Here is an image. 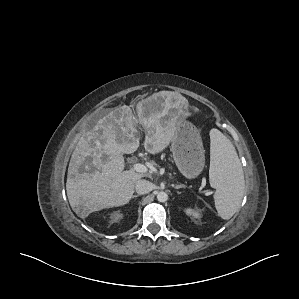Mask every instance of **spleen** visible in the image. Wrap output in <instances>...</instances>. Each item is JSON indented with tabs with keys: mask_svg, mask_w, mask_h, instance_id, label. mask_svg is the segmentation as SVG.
Returning a JSON list of instances; mask_svg holds the SVG:
<instances>
[{
	"mask_svg": "<svg viewBox=\"0 0 299 299\" xmlns=\"http://www.w3.org/2000/svg\"><path fill=\"white\" fill-rule=\"evenodd\" d=\"M210 140V185L216 189L214 202L218 215L228 220L242 201L244 174L231 141L217 129L210 131Z\"/></svg>",
	"mask_w": 299,
	"mask_h": 299,
	"instance_id": "spleen-1",
	"label": "spleen"
}]
</instances>
